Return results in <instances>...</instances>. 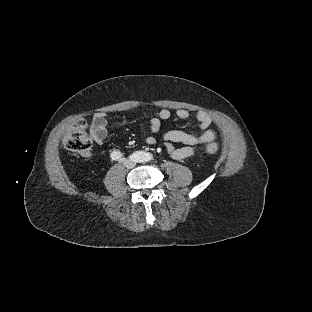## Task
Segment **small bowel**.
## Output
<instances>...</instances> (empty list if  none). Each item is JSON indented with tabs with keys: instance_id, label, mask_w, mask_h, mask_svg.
<instances>
[{
	"instance_id": "obj_1",
	"label": "small bowel",
	"mask_w": 312,
	"mask_h": 312,
	"mask_svg": "<svg viewBox=\"0 0 312 312\" xmlns=\"http://www.w3.org/2000/svg\"><path fill=\"white\" fill-rule=\"evenodd\" d=\"M171 114V110L168 108H161L155 111L149 122V134L145 139L148 145L152 146L157 142V135L154 131L155 125L158 122L169 119ZM175 114L180 119H188L190 117V111L185 108L176 109ZM196 119L201 130L199 134H192L182 130H171L167 137L162 138L164 148L171 158L176 160L186 159L193 155L195 146L209 144L216 139V133L210 129L213 123L212 116L205 111H197ZM88 128L93 141L101 144L107 137V114L104 112L94 114L88 122ZM176 144H182L183 146L176 147ZM83 156L89 158L91 153L87 152Z\"/></svg>"
}]
</instances>
